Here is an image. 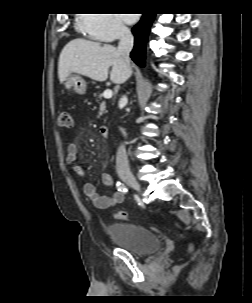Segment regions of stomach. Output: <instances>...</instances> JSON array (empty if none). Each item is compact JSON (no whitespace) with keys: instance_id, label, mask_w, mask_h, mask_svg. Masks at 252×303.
Wrapping results in <instances>:
<instances>
[{"instance_id":"obj_1","label":"stomach","mask_w":252,"mask_h":303,"mask_svg":"<svg viewBox=\"0 0 252 303\" xmlns=\"http://www.w3.org/2000/svg\"><path fill=\"white\" fill-rule=\"evenodd\" d=\"M64 87L67 90H74L78 94H85L87 85L85 80L76 74L69 75L64 81Z\"/></svg>"}]
</instances>
